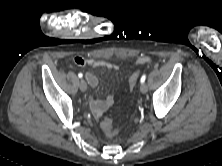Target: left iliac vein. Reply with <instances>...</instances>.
Segmentation results:
<instances>
[{"label": "left iliac vein", "instance_id": "1", "mask_svg": "<svg viewBox=\"0 0 222 166\" xmlns=\"http://www.w3.org/2000/svg\"><path fill=\"white\" fill-rule=\"evenodd\" d=\"M140 91L141 93H146L148 91V86L145 83H141Z\"/></svg>", "mask_w": 222, "mask_h": 166}]
</instances>
